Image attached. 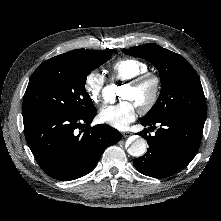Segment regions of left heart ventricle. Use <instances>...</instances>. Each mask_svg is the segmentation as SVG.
<instances>
[{
  "label": "left heart ventricle",
  "instance_id": "b2bd125f",
  "mask_svg": "<svg viewBox=\"0 0 221 221\" xmlns=\"http://www.w3.org/2000/svg\"><path fill=\"white\" fill-rule=\"evenodd\" d=\"M150 94H151L150 84L144 85L139 88L126 84L122 87L120 96L123 99L131 100L139 107L150 97Z\"/></svg>",
  "mask_w": 221,
  "mask_h": 221
}]
</instances>
